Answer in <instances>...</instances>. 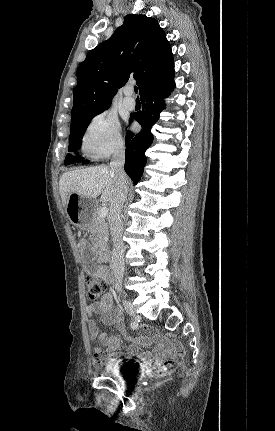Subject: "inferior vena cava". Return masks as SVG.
Listing matches in <instances>:
<instances>
[{"label": "inferior vena cava", "instance_id": "obj_1", "mask_svg": "<svg viewBox=\"0 0 275 431\" xmlns=\"http://www.w3.org/2000/svg\"><path fill=\"white\" fill-rule=\"evenodd\" d=\"M125 149L119 147L110 162L111 173L116 182V190L110 201L109 225L113 240V251L110 267L113 270L116 288L122 284L124 273V244L122 240L123 222L121 211L128 193V177L124 171Z\"/></svg>", "mask_w": 275, "mask_h": 431}]
</instances>
